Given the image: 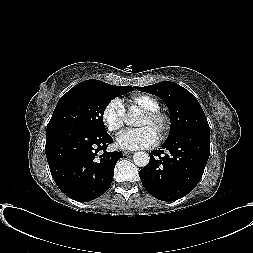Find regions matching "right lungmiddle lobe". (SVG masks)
Here are the masks:
<instances>
[{
    "instance_id": "obj_1",
    "label": "right lung middle lobe",
    "mask_w": 253,
    "mask_h": 253,
    "mask_svg": "<svg viewBox=\"0 0 253 253\" xmlns=\"http://www.w3.org/2000/svg\"><path fill=\"white\" fill-rule=\"evenodd\" d=\"M133 90L130 86H115L99 80L83 81L60 98L47 125V133L62 128L106 132L103 124L106 106L112 99Z\"/></svg>"
}]
</instances>
